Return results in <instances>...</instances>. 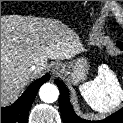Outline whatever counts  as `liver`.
<instances>
[{
	"instance_id": "obj_1",
	"label": "liver",
	"mask_w": 123,
	"mask_h": 123,
	"mask_svg": "<svg viewBox=\"0 0 123 123\" xmlns=\"http://www.w3.org/2000/svg\"><path fill=\"white\" fill-rule=\"evenodd\" d=\"M83 51L73 30L50 20L1 16V106L13 101L48 59H71ZM35 65L34 72L29 68Z\"/></svg>"
}]
</instances>
